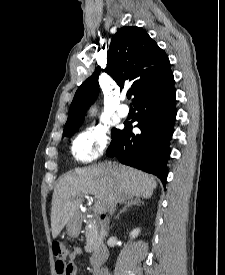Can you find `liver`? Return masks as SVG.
I'll return each instance as SVG.
<instances>
[{
  "label": "liver",
  "mask_w": 225,
  "mask_h": 275,
  "mask_svg": "<svg viewBox=\"0 0 225 275\" xmlns=\"http://www.w3.org/2000/svg\"><path fill=\"white\" fill-rule=\"evenodd\" d=\"M116 183H119L123 193L120 202L125 203L134 197L150 198L157 186L153 176L112 162L99 163L66 174L59 179L52 196V237L56 238L78 214L83 196L92 194L96 204L107 206Z\"/></svg>",
  "instance_id": "6515ba94"
}]
</instances>
